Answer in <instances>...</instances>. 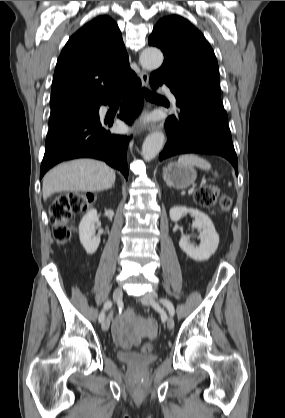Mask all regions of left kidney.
<instances>
[{
	"label": "left kidney",
	"mask_w": 285,
	"mask_h": 418,
	"mask_svg": "<svg viewBox=\"0 0 285 418\" xmlns=\"http://www.w3.org/2000/svg\"><path fill=\"white\" fill-rule=\"evenodd\" d=\"M188 213L195 218L192 227L201 230V241L197 246L192 244L188 237L182 236L179 241V246L192 259L206 261L216 252L219 244V235L208 215L198 209L174 206L169 211L170 219L173 222L179 221Z\"/></svg>",
	"instance_id": "5707ae66"
}]
</instances>
